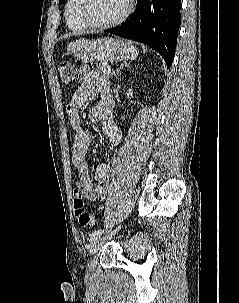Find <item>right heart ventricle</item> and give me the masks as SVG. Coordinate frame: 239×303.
<instances>
[{
  "mask_svg": "<svg viewBox=\"0 0 239 303\" xmlns=\"http://www.w3.org/2000/svg\"><path fill=\"white\" fill-rule=\"evenodd\" d=\"M78 0H66L64 6V15L68 27L73 31H83L87 27L79 20L76 14Z\"/></svg>",
  "mask_w": 239,
  "mask_h": 303,
  "instance_id": "right-heart-ventricle-1",
  "label": "right heart ventricle"
}]
</instances>
